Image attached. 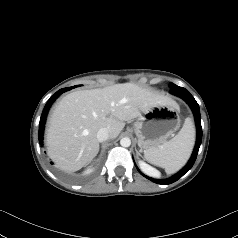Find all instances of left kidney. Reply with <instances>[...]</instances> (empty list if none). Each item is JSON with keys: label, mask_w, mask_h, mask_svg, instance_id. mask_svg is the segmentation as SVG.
Masks as SVG:
<instances>
[{"label": "left kidney", "mask_w": 238, "mask_h": 238, "mask_svg": "<svg viewBox=\"0 0 238 238\" xmlns=\"http://www.w3.org/2000/svg\"><path fill=\"white\" fill-rule=\"evenodd\" d=\"M139 164L141 166V168L143 169L144 172L150 174V175H158V172L152 168L151 166H149L148 164H146L143 161H139Z\"/></svg>", "instance_id": "left-kidney-1"}]
</instances>
